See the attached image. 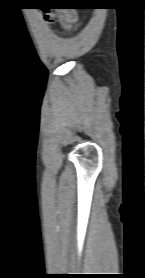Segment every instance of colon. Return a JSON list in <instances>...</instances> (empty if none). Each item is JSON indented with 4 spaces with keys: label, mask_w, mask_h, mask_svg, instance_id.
<instances>
[{
    "label": "colon",
    "mask_w": 145,
    "mask_h": 278,
    "mask_svg": "<svg viewBox=\"0 0 145 278\" xmlns=\"http://www.w3.org/2000/svg\"><path fill=\"white\" fill-rule=\"evenodd\" d=\"M51 8H53V11H66V10H70L72 8H83L82 5L79 4H75V3H64V4H59V5H54ZM45 19L49 22H52V16L48 13L44 14Z\"/></svg>",
    "instance_id": "colon-1"
}]
</instances>
